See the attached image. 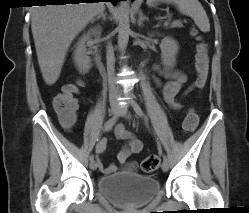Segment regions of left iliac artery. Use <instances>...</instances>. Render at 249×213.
I'll use <instances>...</instances> for the list:
<instances>
[{"instance_id":"1","label":"left iliac artery","mask_w":249,"mask_h":213,"mask_svg":"<svg viewBox=\"0 0 249 213\" xmlns=\"http://www.w3.org/2000/svg\"><path fill=\"white\" fill-rule=\"evenodd\" d=\"M133 109H134L135 113H136L137 115H139L140 117H143V116H144V113H143L141 107H140L137 103H135V102H133ZM163 159H164V161H168L166 155L163 156Z\"/></svg>"}]
</instances>
